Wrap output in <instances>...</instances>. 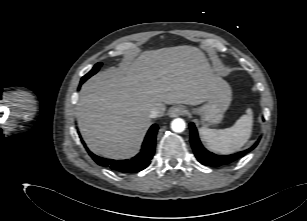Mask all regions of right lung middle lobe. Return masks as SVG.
Wrapping results in <instances>:
<instances>
[{"label": "right lung middle lobe", "instance_id": "1", "mask_svg": "<svg viewBox=\"0 0 307 221\" xmlns=\"http://www.w3.org/2000/svg\"><path fill=\"white\" fill-rule=\"evenodd\" d=\"M101 65H102L101 63H97V64L93 67V69L83 77L84 81H86L89 77H91L92 75H94V74L99 70V68H100Z\"/></svg>", "mask_w": 307, "mask_h": 221}]
</instances>
